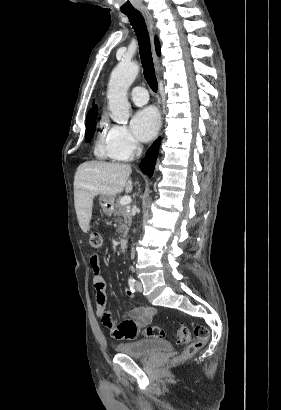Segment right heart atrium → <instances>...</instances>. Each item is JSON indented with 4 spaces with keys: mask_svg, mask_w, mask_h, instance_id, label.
<instances>
[{
    "mask_svg": "<svg viewBox=\"0 0 281 410\" xmlns=\"http://www.w3.org/2000/svg\"><path fill=\"white\" fill-rule=\"evenodd\" d=\"M108 136L112 147L122 160L132 158L141 150L140 142L126 126H109Z\"/></svg>",
    "mask_w": 281,
    "mask_h": 410,
    "instance_id": "d8ad5b80",
    "label": "right heart atrium"
}]
</instances>
